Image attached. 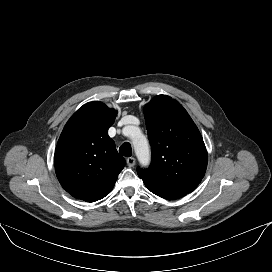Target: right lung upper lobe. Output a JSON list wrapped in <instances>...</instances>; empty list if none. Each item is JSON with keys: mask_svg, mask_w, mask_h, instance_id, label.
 <instances>
[{"mask_svg": "<svg viewBox=\"0 0 272 272\" xmlns=\"http://www.w3.org/2000/svg\"><path fill=\"white\" fill-rule=\"evenodd\" d=\"M116 111L102 102L83 105L66 123L55 150V172L73 197L94 202L114 187L125 165L108 129Z\"/></svg>", "mask_w": 272, "mask_h": 272, "instance_id": "right-lung-upper-lobe-1", "label": "right lung upper lobe"}]
</instances>
